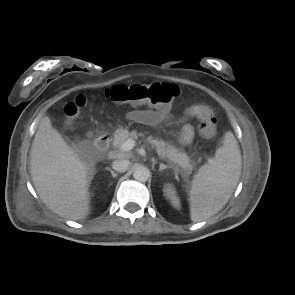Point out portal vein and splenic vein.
Listing matches in <instances>:
<instances>
[{"label":"portal vein and splenic vein","instance_id":"portal-vein-and-splenic-vein-1","mask_svg":"<svg viewBox=\"0 0 295 295\" xmlns=\"http://www.w3.org/2000/svg\"><path fill=\"white\" fill-rule=\"evenodd\" d=\"M135 145H136V143H135L134 139L129 138L124 143H122V145L120 146V150L121 151H129V150L133 149L135 147Z\"/></svg>","mask_w":295,"mask_h":295}]
</instances>
